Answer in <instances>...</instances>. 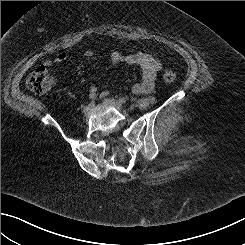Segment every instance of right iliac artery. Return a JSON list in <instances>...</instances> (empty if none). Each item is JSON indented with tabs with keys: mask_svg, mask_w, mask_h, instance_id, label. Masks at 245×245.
<instances>
[{
	"mask_svg": "<svg viewBox=\"0 0 245 245\" xmlns=\"http://www.w3.org/2000/svg\"><path fill=\"white\" fill-rule=\"evenodd\" d=\"M94 104H95V101H94V99H92V101L90 102L89 106L92 108V107H94Z\"/></svg>",
	"mask_w": 245,
	"mask_h": 245,
	"instance_id": "right-iliac-artery-1",
	"label": "right iliac artery"
}]
</instances>
